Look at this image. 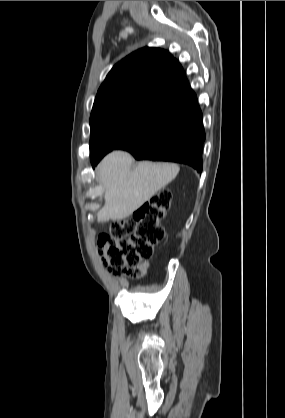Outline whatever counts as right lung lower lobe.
<instances>
[{
	"mask_svg": "<svg viewBox=\"0 0 285 418\" xmlns=\"http://www.w3.org/2000/svg\"><path fill=\"white\" fill-rule=\"evenodd\" d=\"M204 140L203 116L195 97L172 109L159 123L121 149L137 160L183 163L201 172ZM101 159L91 160L93 167Z\"/></svg>",
	"mask_w": 285,
	"mask_h": 418,
	"instance_id": "1",
	"label": "right lung lower lobe"
}]
</instances>
